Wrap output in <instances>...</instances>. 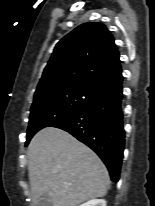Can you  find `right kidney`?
<instances>
[{
    "label": "right kidney",
    "mask_w": 155,
    "mask_h": 206,
    "mask_svg": "<svg viewBox=\"0 0 155 206\" xmlns=\"http://www.w3.org/2000/svg\"><path fill=\"white\" fill-rule=\"evenodd\" d=\"M79 206H106V201L104 199H93Z\"/></svg>",
    "instance_id": "obj_1"
}]
</instances>
